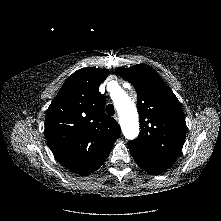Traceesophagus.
Here are the masks:
<instances>
[{
  "instance_id": "1",
  "label": "esophagus",
  "mask_w": 221,
  "mask_h": 221,
  "mask_svg": "<svg viewBox=\"0 0 221 221\" xmlns=\"http://www.w3.org/2000/svg\"><path fill=\"white\" fill-rule=\"evenodd\" d=\"M114 119L118 122L119 121L118 115H114Z\"/></svg>"
}]
</instances>
